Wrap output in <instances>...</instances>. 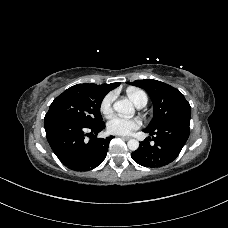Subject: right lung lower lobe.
<instances>
[{
    "label": "right lung lower lobe",
    "instance_id": "1",
    "mask_svg": "<svg viewBox=\"0 0 228 228\" xmlns=\"http://www.w3.org/2000/svg\"><path fill=\"white\" fill-rule=\"evenodd\" d=\"M104 128V122L88 126L64 116L45 117L46 137L51 149L65 166L74 171L92 170L105 159L113 136L103 139L92 134ZM87 131L91 133L85 134ZM86 135H92L88 142Z\"/></svg>",
    "mask_w": 228,
    "mask_h": 228
}]
</instances>
